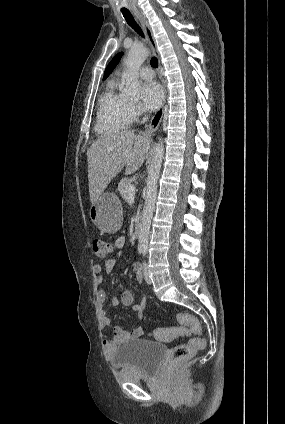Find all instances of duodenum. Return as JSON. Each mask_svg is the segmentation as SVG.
I'll return each instance as SVG.
<instances>
[{
    "instance_id": "1",
    "label": "duodenum",
    "mask_w": 285,
    "mask_h": 424,
    "mask_svg": "<svg viewBox=\"0 0 285 424\" xmlns=\"http://www.w3.org/2000/svg\"><path fill=\"white\" fill-rule=\"evenodd\" d=\"M140 236H141V225H140V222H138L134 228V237L138 239L140 238Z\"/></svg>"
}]
</instances>
